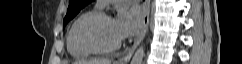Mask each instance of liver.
<instances>
[{
    "mask_svg": "<svg viewBox=\"0 0 242 64\" xmlns=\"http://www.w3.org/2000/svg\"><path fill=\"white\" fill-rule=\"evenodd\" d=\"M110 59H91L89 61H76L75 64H112Z\"/></svg>",
    "mask_w": 242,
    "mask_h": 64,
    "instance_id": "6515ba94",
    "label": "liver"
}]
</instances>
